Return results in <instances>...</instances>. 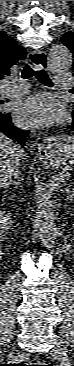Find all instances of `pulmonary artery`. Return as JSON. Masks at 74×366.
<instances>
[{"label":"pulmonary artery","instance_id":"obj_1","mask_svg":"<svg viewBox=\"0 0 74 366\" xmlns=\"http://www.w3.org/2000/svg\"><path fill=\"white\" fill-rule=\"evenodd\" d=\"M55 86L59 89H66L72 86L73 77L70 73L64 71H57L55 73ZM28 85L24 82H9L2 90V94L6 97H14L22 95L27 92Z\"/></svg>","mask_w":74,"mask_h":366}]
</instances>
